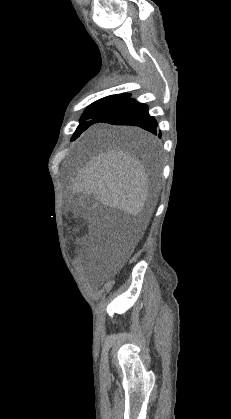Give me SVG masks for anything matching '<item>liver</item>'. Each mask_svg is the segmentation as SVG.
Returning a JSON list of instances; mask_svg holds the SVG:
<instances>
[{"label": "liver", "mask_w": 231, "mask_h": 419, "mask_svg": "<svg viewBox=\"0 0 231 419\" xmlns=\"http://www.w3.org/2000/svg\"><path fill=\"white\" fill-rule=\"evenodd\" d=\"M116 133L139 143L153 144L154 138L136 127L115 128ZM149 179L143 163L129 150L117 146L100 152L80 170L72 191L93 195L102 204L132 215L145 210ZM153 207L143 219L142 230L149 222Z\"/></svg>", "instance_id": "1"}]
</instances>
